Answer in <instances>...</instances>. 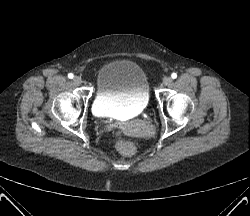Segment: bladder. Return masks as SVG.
Returning a JSON list of instances; mask_svg holds the SVG:
<instances>
[{
    "label": "bladder",
    "mask_w": 250,
    "mask_h": 216,
    "mask_svg": "<svg viewBox=\"0 0 250 216\" xmlns=\"http://www.w3.org/2000/svg\"><path fill=\"white\" fill-rule=\"evenodd\" d=\"M149 102V84L136 63L115 60L103 65L96 77L93 109L100 116L135 115Z\"/></svg>",
    "instance_id": "1"
}]
</instances>
